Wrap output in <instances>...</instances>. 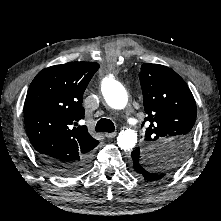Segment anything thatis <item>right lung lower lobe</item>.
Wrapping results in <instances>:
<instances>
[{
    "label": "right lung lower lobe",
    "instance_id": "right-lung-lower-lobe-1",
    "mask_svg": "<svg viewBox=\"0 0 221 221\" xmlns=\"http://www.w3.org/2000/svg\"><path fill=\"white\" fill-rule=\"evenodd\" d=\"M39 158L51 172L62 177L79 175L91 165V156L84 157L76 162H61L44 156H39Z\"/></svg>",
    "mask_w": 221,
    "mask_h": 221
}]
</instances>
